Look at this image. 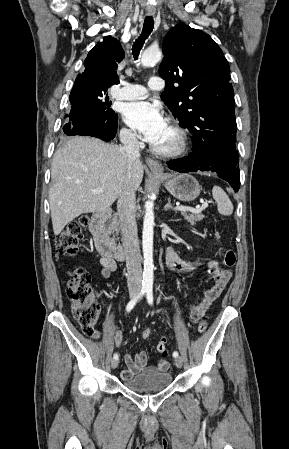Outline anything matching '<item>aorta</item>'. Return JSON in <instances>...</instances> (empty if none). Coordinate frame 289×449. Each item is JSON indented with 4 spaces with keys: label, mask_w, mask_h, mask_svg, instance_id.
I'll return each instance as SVG.
<instances>
[{
    "label": "aorta",
    "mask_w": 289,
    "mask_h": 449,
    "mask_svg": "<svg viewBox=\"0 0 289 449\" xmlns=\"http://www.w3.org/2000/svg\"><path fill=\"white\" fill-rule=\"evenodd\" d=\"M162 59V52L159 49L148 48L141 56V64L143 66H151L158 63ZM154 203L148 200L145 203V216L143 222L142 249L144 258V271L142 286L144 288H152L154 279L153 264V227H154Z\"/></svg>",
    "instance_id": "obj_1"
}]
</instances>
